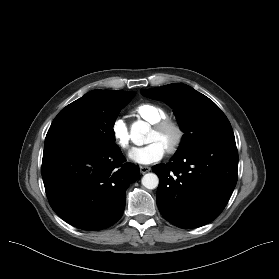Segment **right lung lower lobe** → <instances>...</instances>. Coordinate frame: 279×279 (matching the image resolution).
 Returning a JSON list of instances; mask_svg holds the SVG:
<instances>
[{
  "label": "right lung lower lobe",
  "mask_w": 279,
  "mask_h": 279,
  "mask_svg": "<svg viewBox=\"0 0 279 279\" xmlns=\"http://www.w3.org/2000/svg\"><path fill=\"white\" fill-rule=\"evenodd\" d=\"M124 161L117 145L102 150L68 141L44 147L42 178L52 209L79 229L112 226L123 215L126 189L139 178V167Z\"/></svg>",
  "instance_id": "right-lung-lower-lobe-1"
}]
</instances>
